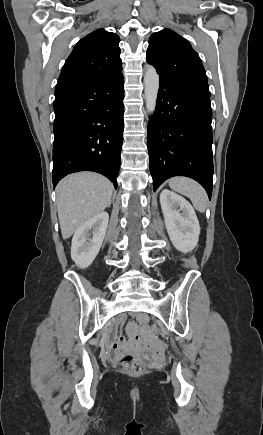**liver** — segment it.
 Returning a JSON list of instances; mask_svg holds the SVG:
<instances>
[{"instance_id": "liver-1", "label": "liver", "mask_w": 263, "mask_h": 435, "mask_svg": "<svg viewBox=\"0 0 263 435\" xmlns=\"http://www.w3.org/2000/svg\"><path fill=\"white\" fill-rule=\"evenodd\" d=\"M112 192L111 182L93 172H79L63 178L56 187L62 237H71L83 223L110 206Z\"/></svg>"}]
</instances>
